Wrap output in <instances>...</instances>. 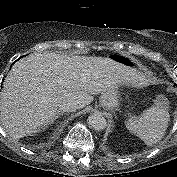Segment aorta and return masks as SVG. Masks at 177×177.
<instances>
[{
    "label": "aorta",
    "mask_w": 177,
    "mask_h": 177,
    "mask_svg": "<svg viewBox=\"0 0 177 177\" xmlns=\"http://www.w3.org/2000/svg\"><path fill=\"white\" fill-rule=\"evenodd\" d=\"M89 125L97 131L104 130L107 127L106 119L100 114H93L88 117Z\"/></svg>",
    "instance_id": "aorta-1"
}]
</instances>
